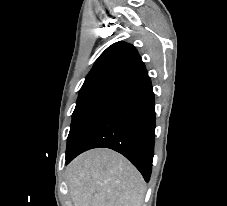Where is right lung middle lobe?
I'll use <instances>...</instances> for the list:
<instances>
[{
	"label": "right lung middle lobe",
	"mask_w": 227,
	"mask_h": 206,
	"mask_svg": "<svg viewBox=\"0 0 227 206\" xmlns=\"http://www.w3.org/2000/svg\"><path fill=\"white\" fill-rule=\"evenodd\" d=\"M129 87V83L121 80H105L81 88L72 114L70 132L67 138L66 156L93 124L100 113Z\"/></svg>",
	"instance_id": "dd1d6c3e"
}]
</instances>
